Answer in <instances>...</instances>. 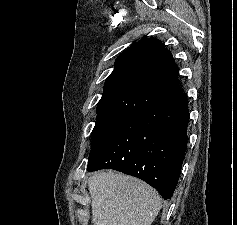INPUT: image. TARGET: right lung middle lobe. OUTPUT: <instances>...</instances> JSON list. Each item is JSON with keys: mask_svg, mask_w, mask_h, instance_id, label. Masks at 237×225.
<instances>
[{"mask_svg": "<svg viewBox=\"0 0 237 225\" xmlns=\"http://www.w3.org/2000/svg\"><path fill=\"white\" fill-rule=\"evenodd\" d=\"M125 121L121 120H97L93 128V140L91 143V151L100 144L109 134L118 127L123 125Z\"/></svg>", "mask_w": 237, "mask_h": 225, "instance_id": "1", "label": "right lung middle lobe"}]
</instances>
